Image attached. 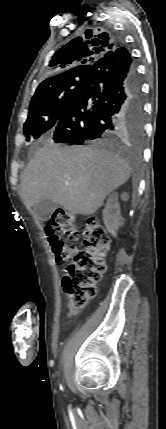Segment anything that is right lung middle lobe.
Instances as JSON below:
<instances>
[{
    "mask_svg": "<svg viewBox=\"0 0 166 429\" xmlns=\"http://www.w3.org/2000/svg\"><path fill=\"white\" fill-rule=\"evenodd\" d=\"M87 80V75H76L52 85L48 90L35 94L29 106L28 119L24 124L27 140H35L47 131L52 132L62 117L75 91ZM130 138L138 143L142 128L138 132L130 130Z\"/></svg>",
    "mask_w": 166,
    "mask_h": 429,
    "instance_id": "1",
    "label": "right lung middle lobe"
}]
</instances>
